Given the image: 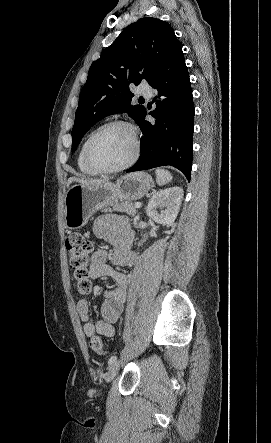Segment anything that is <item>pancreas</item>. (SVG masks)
<instances>
[{
	"mask_svg": "<svg viewBox=\"0 0 271 443\" xmlns=\"http://www.w3.org/2000/svg\"><path fill=\"white\" fill-rule=\"evenodd\" d=\"M102 212H126V214L134 218L137 214V208H135L134 202H115L113 210L105 208Z\"/></svg>",
	"mask_w": 271,
	"mask_h": 443,
	"instance_id": "1",
	"label": "pancreas"
}]
</instances>
